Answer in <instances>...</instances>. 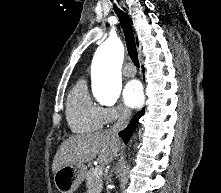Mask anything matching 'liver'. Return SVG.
I'll return each instance as SVG.
<instances>
[{
	"label": "liver",
	"mask_w": 221,
	"mask_h": 193,
	"mask_svg": "<svg viewBox=\"0 0 221 193\" xmlns=\"http://www.w3.org/2000/svg\"><path fill=\"white\" fill-rule=\"evenodd\" d=\"M120 149V139L109 130L71 136L58 149L52 164L55 173L66 165L82 166L96 156L100 164L110 163Z\"/></svg>",
	"instance_id": "liver-1"
}]
</instances>
